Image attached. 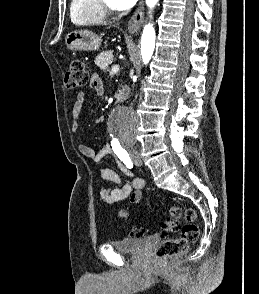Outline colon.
<instances>
[{
    "mask_svg": "<svg viewBox=\"0 0 259 294\" xmlns=\"http://www.w3.org/2000/svg\"><path fill=\"white\" fill-rule=\"evenodd\" d=\"M88 79L84 63L79 59L72 60L65 74V86L69 89L80 88L87 84ZM169 214L174 219L183 218L185 224L181 228V235L179 237L167 239L157 247L156 256L159 259H167L185 253L189 246L199 238L196 212L193 209L172 206L169 209ZM179 228L180 226L177 221L168 220L163 223V230L165 232H173Z\"/></svg>",
    "mask_w": 259,
    "mask_h": 294,
    "instance_id": "colon-1",
    "label": "colon"
}]
</instances>
